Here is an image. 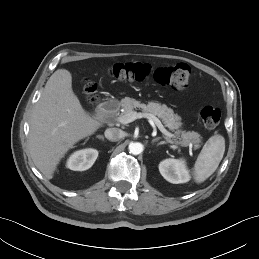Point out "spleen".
Returning a JSON list of instances; mask_svg holds the SVG:
<instances>
[{"mask_svg": "<svg viewBox=\"0 0 259 259\" xmlns=\"http://www.w3.org/2000/svg\"><path fill=\"white\" fill-rule=\"evenodd\" d=\"M225 152V139L221 135L211 136L203 146L195 164L194 179L202 183L209 178L219 166Z\"/></svg>", "mask_w": 259, "mask_h": 259, "instance_id": "spleen-1", "label": "spleen"}]
</instances>
